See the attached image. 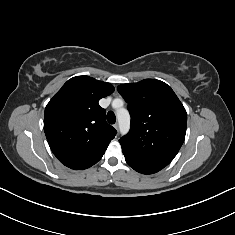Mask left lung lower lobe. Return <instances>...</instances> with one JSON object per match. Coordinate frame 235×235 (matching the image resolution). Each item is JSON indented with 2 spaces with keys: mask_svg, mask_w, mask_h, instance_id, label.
<instances>
[{
  "mask_svg": "<svg viewBox=\"0 0 235 235\" xmlns=\"http://www.w3.org/2000/svg\"><path fill=\"white\" fill-rule=\"evenodd\" d=\"M122 151H123L125 160L128 163V165L139 173L153 174V173L160 171L161 169L165 167L162 164H158V163L146 160L140 156L132 155L124 150Z\"/></svg>",
  "mask_w": 235,
  "mask_h": 235,
  "instance_id": "0a47b994",
  "label": "left lung lower lobe"
}]
</instances>
